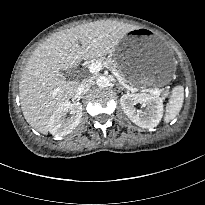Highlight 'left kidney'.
<instances>
[{"mask_svg": "<svg viewBox=\"0 0 205 205\" xmlns=\"http://www.w3.org/2000/svg\"><path fill=\"white\" fill-rule=\"evenodd\" d=\"M138 103L146 107V110H136L134 106ZM120 104L128 118L142 128L156 127L163 116V101L154 94H124L120 98Z\"/></svg>", "mask_w": 205, "mask_h": 205, "instance_id": "5707ae66", "label": "left kidney"}]
</instances>
